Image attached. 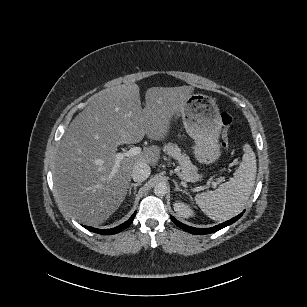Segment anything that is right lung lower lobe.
Returning <instances> with one entry per match:
<instances>
[{
	"label": "right lung lower lobe",
	"instance_id": "right-lung-lower-lobe-1",
	"mask_svg": "<svg viewBox=\"0 0 307 307\" xmlns=\"http://www.w3.org/2000/svg\"><path fill=\"white\" fill-rule=\"evenodd\" d=\"M135 214H136V212L130 217V219L128 221H126L125 223L121 224L120 226H117V227L112 228V229L104 230V229H96V228L88 227V226H84V227L86 229H88L92 232L98 233V234L112 235V234L118 233V232L124 230L125 228H127L133 222Z\"/></svg>",
	"mask_w": 307,
	"mask_h": 307
}]
</instances>
